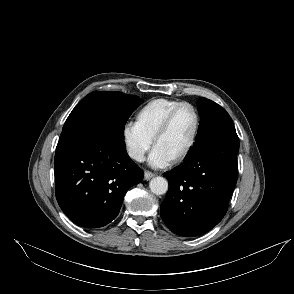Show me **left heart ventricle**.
<instances>
[{"label":"left heart ventricle","instance_id":"obj_1","mask_svg":"<svg viewBox=\"0 0 294 294\" xmlns=\"http://www.w3.org/2000/svg\"><path fill=\"white\" fill-rule=\"evenodd\" d=\"M195 128V116L190 108H182L174 117L168 131L155 147L174 160L189 144Z\"/></svg>","mask_w":294,"mask_h":294}]
</instances>
